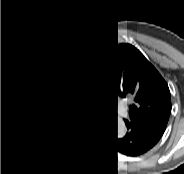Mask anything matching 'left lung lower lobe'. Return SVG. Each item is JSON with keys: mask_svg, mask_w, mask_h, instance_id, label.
<instances>
[{"mask_svg": "<svg viewBox=\"0 0 184 174\" xmlns=\"http://www.w3.org/2000/svg\"><path fill=\"white\" fill-rule=\"evenodd\" d=\"M127 130L123 137L112 138V142L117 150L129 155L142 154L148 151L162 136L136 127L127 126Z\"/></svg>", "mask_w": 184, "mask_h": 174, "instance_id": "left-lung-lower-lobe-1", "label": "left lung lower lobe"}]
</instances>
